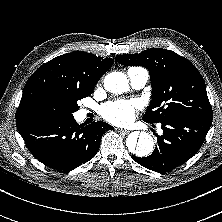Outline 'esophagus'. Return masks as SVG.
<instances>
[{"instance_id":"1","label":"esophagus","mask_w":222,"mask_h":222,"mask_svg":"<svg viewBox=\"0 0 222 222\" xmlns=\"http://www.w3.org/2000/svg\"><path fill=\"white\" fill-rule=\"evenodd\" d=\"M117 131L123 134H128L130 131L122 128H117Z\"/></svg>"}]
</instances>
